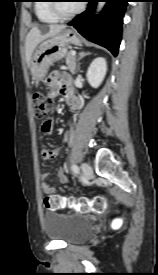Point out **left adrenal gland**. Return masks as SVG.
I'll return each instance as SVG.
<instances>
[{
  "mask_svg": "<svg viewBox=\"0 0 158 275\" xmlns=\"http://www.w3.org/2000/svg\"><path fill=\"white\" fill-rule=\"evenodd\" d=\"M87 55H90V53L89 52H84V51L79 52V59L78 60L82 59L83 57H85ZM78 69H79V66H78Z\"/></svg>",
  "mask_w": 158,
  "mask_h": 275,
  "instance_id": "1",
  "label": "left adrenal gland"
}]
</instances>
